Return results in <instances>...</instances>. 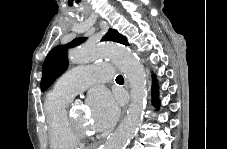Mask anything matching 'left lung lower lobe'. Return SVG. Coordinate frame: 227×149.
I'll list each match as a JSON object with an SVG mask.
<instances>
[{"instance_id": "left-lung-lower-lobe-1", "label": "left lung lower lobe", "mask_w": 227, "mask_h": 149, "mask_svg": "<svg viewBox=\"0 0 227 149\" xmlns=\"http://www.w3.org/2000/svg\"><path fill=\"white\" fill-rule=\"evenodd\" d=\"M152 96H153V105L158 108L159 107V101H158V90L156 87V82L153 83V88H152Z\"/></svg>"}]
</instances>
